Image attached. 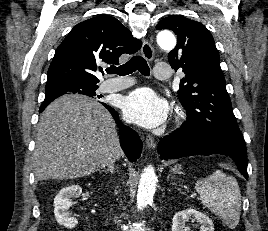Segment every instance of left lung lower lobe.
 Returning a JSON list of instances; mask_svg holds the SVG:
<instances>
[{
	"label": "left lung lower lobe",
	"instance_id": "1",
	"mask_svg": "<svg viewBox=\"0 0 268 231\" xmlns=\"http://www.w3.org/2000/svg\"><path fill=\"white\" fill-rule=\"evenodd\" d=\"M158 152L161 159H177L190 155H226L235 161L240 173L248 179L246 144L219 134L181 126L160 140Z\"/></svg>",
	"mask_w": 268,
	"mask_h": 231
}]
</instances>
